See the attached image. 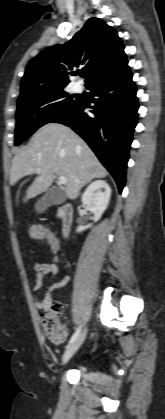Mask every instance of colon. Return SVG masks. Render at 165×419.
<instances>
[{
	"mask_svg": "<svg viewBox=\"0 0 165 419\" xmlns=\"http://www.w3.org/2000/svg\"><path fill=\"white\" fill-rule=\"evenodd\" d=\"M30 236L34 240L46 239L50 243L55 254L60 251L58 239L47 229L40 226H33L29 230ZM63 312V306L60 302H52L45 313L40 317L41 327L44 333L56 344L65 342L68 332L63 328L59 321V317Z\"/></svg>",
	"mask_w": 165,
	"mask_h": 419,
	"instance_id": "1",
	"label": "colon"
}]
</instances>
